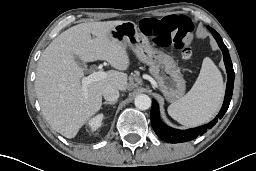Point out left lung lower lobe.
I'll return each mask as SVG.
<instances>
[{"label": "left lung lower lobe", "mask_w": 256, "mask_h": 171, "mask_svg": "<svg viewBox=\"0 0 256 171\" xmlns=\"http://www.w3.org/2000/svg\"><path fill=\"white\" fill-rule=\"evenodd\" d=\"M208 29L212 32L214 38L216 39L219 47L221 48L223 52V57H224V63L226 66L227 70V86H226V93H225V99L223 106L219 112V114L216 116V118L211 121L209 124L197 127V128H192L188 130H178L171 128L164 124L159 116V106L157 102L153 99L152 100V108H151V124L152 127L155 131V133L160 137L162 140L169 142V143H181L185 141H190L195 139L197 136L202 135L207 131V128H212L218 119H221L225 112L227 111L231 98H232V93H233V85H234V70L232 66V62L230 59V55L228 52L227 47L222 41L221 36L211 27H208Z\"/></svg>", "instance_id": "obj_1"}]
</instances>
